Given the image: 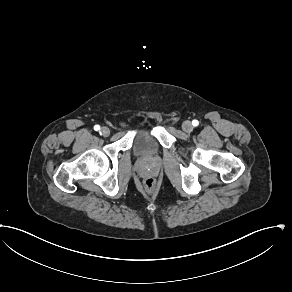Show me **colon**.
<instances>
[{
  "mask_svg": "<svg viewBox=\"0 0 292 292\" xmlns=\"http://www.w3.org/2000/svg\"><path fill=\"white\" fill-rule=\"evenodd\" d=\"M145 189L147 192L151 193L155 188V180L152 178H149L144 183Z\"/></svg>",
  "mask_w": 292,
  "mask_h": 292,
  "instance_id": "1",
  "label": "colon"
}]
</instances>
